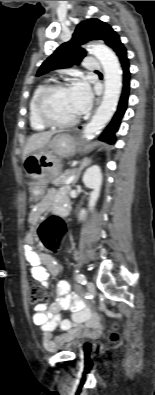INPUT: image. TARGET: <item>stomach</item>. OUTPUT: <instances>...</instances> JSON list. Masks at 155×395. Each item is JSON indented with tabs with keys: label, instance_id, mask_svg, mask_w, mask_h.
<instances>
[{
	"label": "stomach",
	"instance_id": "1",
	"mask_svg": "<svg viewBox=\"0 0 155 395\" xmlns=\"http://www.w3.org/2000/svg\"><path fill=\"white\" fill-rule=\"evenodd\" d=\"M69 134L54 136L43 149L29 154L23 162L24 171L31 179L32 193L39 200L47 183L60 173L59 158L68 155L73 147Z\"/></svg>",
	"mask_w": 155,
	"mask_h": 395
}]
</instances>
